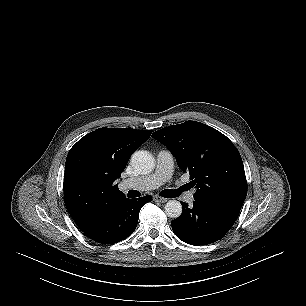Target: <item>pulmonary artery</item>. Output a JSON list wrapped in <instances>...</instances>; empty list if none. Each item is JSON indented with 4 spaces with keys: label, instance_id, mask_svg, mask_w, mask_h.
Listing matches in <instances>:
<instances>
[{
    "label": "pulmonary artery",
    "instance_id": "pulmonary-artery-1",
    "mask_svg": "<svg viewBox=\"0 0 306 306\" xmlns=\"http://www.w3.org/2000/svg\"><path fill=\"white\" fill-rule=\"evenodd\" d=\"M174 159L168 150H160L156 157V166L151 174L135 179L123 180L120 184L121 189L135 188L139 190H152L166 183L172 176ZM184 200L187 203L194 201V191L185 193Z\"/></svg>",
    "mask_w": 306,
    "mask_h": 306
}]
</instances>
